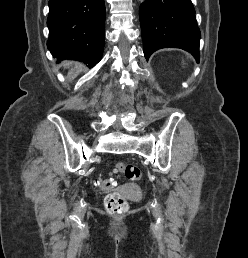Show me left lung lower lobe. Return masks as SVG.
I'll use <instances>...</instances> for the list:
<instances>
[{
    "label": "left lung lower lobe",
    "instance_id": "left-lung-lower-lobe-1",
    "mask_svg": "<svg viewBox=\"0 0 248 258\" xmlns=\"http://www.w3.org/2000/svg\"><path fill=\"white\" fill-rule=\"evenodd\" d=\"M145 58L161 48H180L199 62L200 30L191 0H145L139 8Z\"/></svg>",
    "mask_w": 248,
    "mask_h": 258
}]
</instances>
